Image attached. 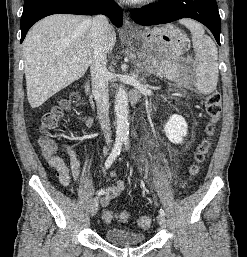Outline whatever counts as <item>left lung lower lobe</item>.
Wrapping results in <instances>:
<instances>
[{"label": "left lung lower lobe", "instance_id": "obj_1", "mask_svg": "<svg viewBox=\"0 0 247 257\" xmlns=\"http://www.w3.org/2000/svg\"><path fill=\"white\" fill-rule=\"evenodd\" d=\"M132 18L145 26L192 18L208 27L220 45L221 20L216 0H158L155 5L133 9Z\"/></svg>", "mask_w": 247, "mask_h": 257}]
</instances>
